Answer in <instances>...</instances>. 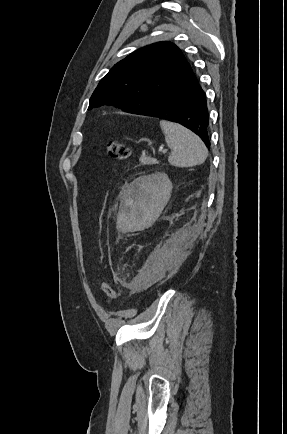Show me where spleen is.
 Masks as SVG:
<instances>
[{
    "mask_svg": "<svg viewBox=\"0 0 287 434\" xmlns=\"http://www.w3.org/2000/svg\"><path fill=\"white\" fill-rule=\"evenodd\" d=\"M165 141L171 149L168 162L175 167H192L202 164L208 155L203 141L180 124L161 120ZM142 224H146L143 220Z\"/></svg>",
    "mask_w": 287,
    "mask_h": 434,
    "instance_id": "3e777b00",
    "label": "spleen"
}]
</instances>
